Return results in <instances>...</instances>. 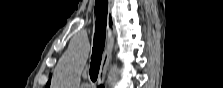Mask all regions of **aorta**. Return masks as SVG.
<instances>
[{
	"mask_svg": "<svg viewBox=\"0 0 223 88\" xmlns=\"http://www.w3.org/2000/svg\"><path fill=\"white\" fill-rule=\"evenodd\" d=\"M88 58L87 46L76 41L61 57L53 76L54 88H75L80 81L81 71ZM118 66L113 65L109 70L107 83L110 87L118 81Z\"/></svg>",
	"mask_w": 223,
	"mask_h": 88,
	"instance_id": "obj_1",
	"label": "aorta"
}]
</instances>
